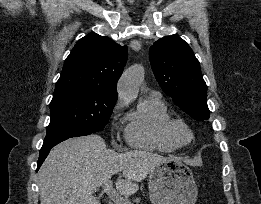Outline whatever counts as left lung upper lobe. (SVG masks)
<instances>
[{
    "label": "left lung upper lobe",
    "mask_w": 261,
    "mask_h": 204,
    "mask_svg": "<svg viewBox=\"0 0 261 204\" xmlns=\"http://www.w3.org/2000/svg\"><path fill=\"white\" fill-rule=\"evenodd\" d=\"M149 58L156 80L174 103L197 121L208 119L207 86L187 42L177 36L161 38L150 47Z\"/></svg>",
    "instance_id": "5c2ea615"
}]
</instances>
